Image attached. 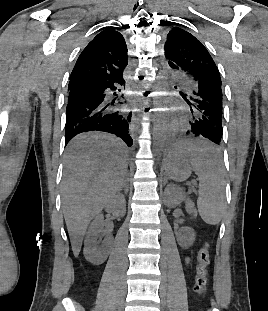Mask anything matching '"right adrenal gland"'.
<instances>
[{
	"label": "right adrenal gland",
	"instance_id": "right-adrenal-gland-1",
	"mask_svg": "<svg viewBox=\"0 0 268 311\" xmlns=\"http://www.w3.org/2000/svg\"><path fill=\"white\" fill-rule=\"evenodd\" d=\"M124 186H125V193H126L127 192L126 184ZM124 186H122L119 190H122Z\"/></svg>",
	"mask_w": 268,
	"mask_h": 311
}]
</instances>
